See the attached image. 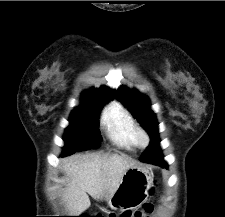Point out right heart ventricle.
I'll use <instances>...</instances> for the list:
<instances>
[{
  "label": "right heart ventricle",
  "instance_id": "right-heart-ventricle-1",
  "mask_svg": "<svg viewBox=\"0 0 225 217\" xmlns=\"http://www.w3.org/2000/svg\"><path fill=\"white\" fill-rule=\"evenodd\" d=\"M103 123L108 127L110 139L117 146L133 150L139 145L135 122L122 104L113 102L103 115Z\"/></svg>",
  "mask_w": 225,
  "mask_h": 217
}]
</instances>
